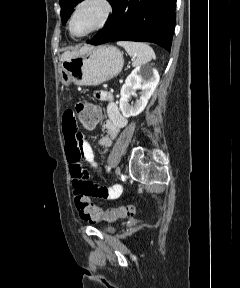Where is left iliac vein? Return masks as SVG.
<instances>
[{"mask_svg": "<svg viewBox=\"0 0 240 288\" xmlns=\"http://www.w3.org/2000/svg\"><path fill=\"white\" fill-rule=\"evenodd\" d=\"M115 174H116L117 176H119V175L121 174V169H120V167H117V168H116Z\"/></svg>", "mask_w": 240, "mask_h": 288, "instance_id": "left-iliac-vein-1", "label": "left iliac vein"}]
</instances>
